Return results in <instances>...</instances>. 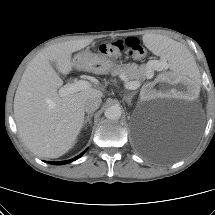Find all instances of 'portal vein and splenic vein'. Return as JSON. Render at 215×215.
I'll list each match as a JSON object with an SVG mask.
<instances>
[{
	"mask_svg": "<svg viewBox=\"0 0 215 215\" xmlns=\"http://www.w3.org/2000/svg\"><path fill=\"white\" fill-rule=\"evenodd\" d=\"M164 66H167L166 62H164ZM122 79L125 80L126 78L124 76H122ZM139 87H140V84L138 82H135V81L125 83V88L128 90H135ZM89 88H90V83L88 81L78 80V81H74L73 83H68L67 85L61 87L59 89V94L61 96H67L69 94L79 92L82 90H87Z\"/></svg>",
	"mask_w": 215,
	"mask_h": 215,
	"instance_id": "obj_1",
	"label": "portal vein and splenic vein"
}]
</instances>
